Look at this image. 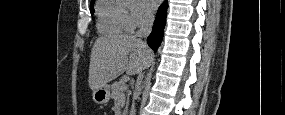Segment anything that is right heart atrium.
<instances>
[{"label":"right heart atrium","mask_w":285,"mask_h":115,"mask_svg":"<svg viewBox=\"0 0 285 115\" xmlns=\"http://www.w3.org/2000/svg\"><path fill=\"white\" fill-rule=\"evenodd\" d=\"M151 22V15L143 8H136L128 12V32L145 27Z\"/></svg>","instance_id":"right-heart-atrium-1"}]
</instances>
